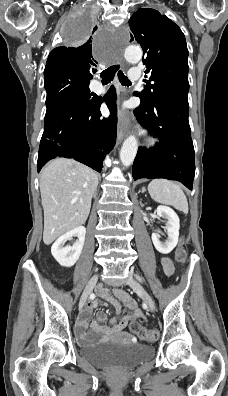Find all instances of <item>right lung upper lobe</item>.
Returning <instances> with one entry per match:
<instances>
[{"label":"right lung upper lobe","mask_w":228,"mask_h":396,"mask_svg":"<svg viewBox=\"0 0 228 396\" xmlns=\"http://www.w3.org/2000/svg\"><path fill=\"white\" fill-rule=\"evenodd\" d=\"M97 61L92 55L91 38L76 47H58L53 49L47 59L44 76L56 74H74L91 80L92 66Z\"/></svg>","instance_id":"cb5924a9"}]
</instances>
